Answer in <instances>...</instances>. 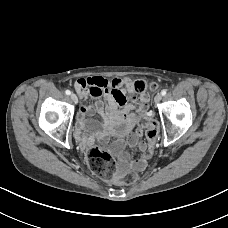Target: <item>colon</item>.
Here are the masks:
<instances>
[{
	"instance_id": "obj_1",
	"label": "colon",
	"mask_w": 228,
	"mask_h": 228,
	"mask_svg": "<svg viewBox=\"0 0 228 228\" xmlns=\"http://www.w3.org/2000/svg\"><path fill=\"white\" fill-rule=\"evenodd\" d=\"M135 90L139 94H145L150 90L156 89L155 83L146 82L143 80H138L134 83ZM139 125L146 128V137H147V156H149L153 149L154 145L158 139L159 129L156 121L151 117H143L139 120ZM87 161L90 170L102 178L105 181L131 185L135 183L138 179V175L135 171H127L123 174H119L116 167V162L111 153L102 147L94 146L92 147L87 156Z\"/></svg>"
}]
</instances>
